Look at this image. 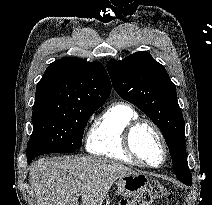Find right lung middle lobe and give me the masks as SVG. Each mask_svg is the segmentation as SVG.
Wrapping results in <instances>:
<instances>
[{"mask_svg": "<svg viewBox=\"0 0 212 205\" xmlns=\"http://www.w3.org/2000/svg\"><path fill=\"white\" fill-rule=\"evenodd\" d=\"M100 105H78L63 110L33 109V132L27 146V159L47 153L78 150L89 117Z\"/></svg>", "mask_w": 212, "mask_h": 205, "instance_id": "1", "label": "right lung middle lobe"}]
</instances>
